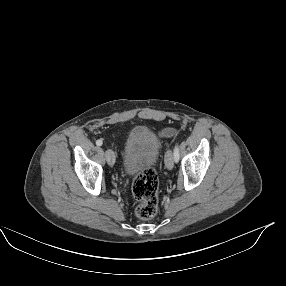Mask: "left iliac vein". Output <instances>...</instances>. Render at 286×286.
Wrapping results in <instances>:
<instances>
[{
    "label": "left iliac vein",
    "mask_w": 286,
    "mask_h": 286,
    "mask_svg": "<svg viewBox=\"0 0 286 286\" xmlns=\"http://www.w3.org/2000/svg\"><path fill=\"white\" fill-rule=\"evenodd\" d=\"M165 166L168 170H171L174 167V157L171 150H168L165 155Z\"/></svg>",
    "instance_id": "1"
}]
</instances>
